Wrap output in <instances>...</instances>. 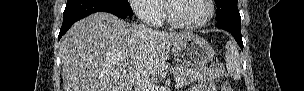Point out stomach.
Returning a JSON list of instances; mask_svg holds the SVG:
<instances>
[{
	"label": "stomach",
	"mask_w": 304,
	"mask_h": 91,
	"mask_svg": "<svg viewBox=\"0 0 304 91\" xmlns=\"http://www.w3.org/2000/svg\"><path fill=\"white\" fill-rule=\"evenodd\" d=\"M172 53L177 62L194 69L204 68L215 54L210 44L199 36L187 37L174 44Z\"/></svg>",
	"instance_id": "1"
}]
</instances>
